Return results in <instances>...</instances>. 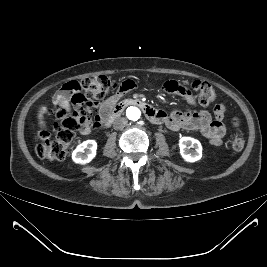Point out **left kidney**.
Returning <instances> with one entry per match:
<instances>
[{"mask_svg":"<svg viewBox=\"0 0 267 267\" xmlns=\"http://www.w3.org/2000/svg\"><path fill=\"white\" fill-rule=\"evenodd\" d=\"M179 147L182 158L187 162H196L202 157V146L197 139L182 137L179 139Z\"/></svg>","mask_w":267,"mask_h":267,"instance_id":"5707ae66","label":"left kidney"}]
</instances>
